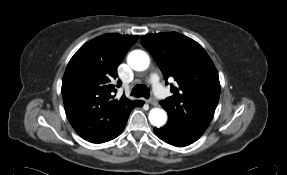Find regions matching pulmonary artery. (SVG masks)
I'll list each match as a JSON object with an SVG mask.
<instances>
[{
  "label": "pulmonary artery",
  "mask_w": 287,
  "mask_h": 175,
  "mask_svg": "<svg viewBox=\"0 0 287 175\" xmlns=\"http://www.w3.org/2000/svg\"><path fill=\"white\" fill-rule=\"evenodd\" d=\"M158 77L155 73L150 75V80L153 83V90L157 97L163 99L166 97V91L161 84L157 81Z\"/></svg>",
  "instance_id": "e3ab8cb5"
}]
</instances>
